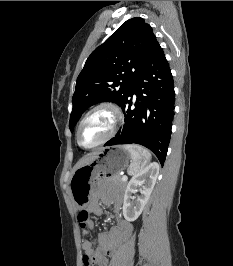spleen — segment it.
<instances>
[{
    "mask_svg": "<svg viewBox=\"0 0 233 266\" xmlns=\"http://www.w3.org/2000/svg\"><path fill=\"white\" fill-rule=\"evenodd\" d=\"M123 147L129 152L131 156V164L128 169V174H138L150 162V152L139 145H124Z\"/></svg>",
    "mask_w": 233,
    "mask_h": 266,
    "instance_id": "spleen-1",
    "label": "spleen"
}]
</instances>
